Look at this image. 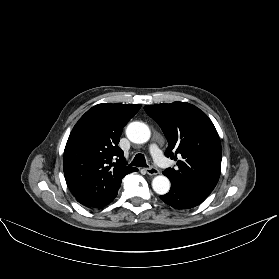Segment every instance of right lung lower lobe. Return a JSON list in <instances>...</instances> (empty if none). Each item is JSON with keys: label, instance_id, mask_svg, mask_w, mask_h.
Masks as SVG:
<instances>
[{"label": "right lung lower lobe", "instance_id": "obj_1", "mask_svg": "<svg viewBox=\"0 0 279 279\" xmlns=\"http://www.w3.org/2000/svg\"><path fill=\"white\" fill-rule=\"evenodd\" d=\"M117 196V193L110 199L108 200L107 202L103 203V204H100V205H97V206H94V208H101V207H104L106 206L107 204H109L111 201H113V199Z\"/></svg>", "mask_w": 279, "mask_h": 279}]
</instances>
